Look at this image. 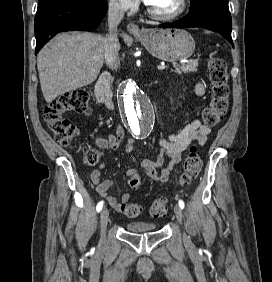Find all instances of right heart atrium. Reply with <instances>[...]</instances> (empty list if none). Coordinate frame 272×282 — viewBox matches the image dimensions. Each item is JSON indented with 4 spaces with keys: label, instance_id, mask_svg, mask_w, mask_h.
<instances>
[{
    "label": "right heart atrium",
    "instance_id": "right-heart-atrium-1",
    "mask_svg": "<svg viewBox=\"0 0 272 282\" xmlns=\"http://www.w3.org/2000/svg\"><path fill=\"white\" fill-rule=\"evenodd\" d=\"M109 9L116 14H124L130 10H133L136 5L130 0H108Z\"/></svg>",
    "mask_w": 272,
    "mask_h": 282
}]
</instances>
